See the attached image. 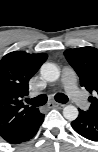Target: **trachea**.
<instances>
[{
	"mask_svg": "<svg viewBox=\"0 0 98 152\" xmlns=\"http://www.w3.org/2000/svg\"><path fill=\"white\" fill-rule=\"evenodd\" d=\"M54 98L57 102L63 103V104L69 101L68 97L63 93H57ZM46 102H47V96L44 94H41L32 99H26V103L34 105V106H42L46 104Z\"/></svg>",
	"mask_w": 98,
	"mask_h": 152,
	"instance_id": "trachea-1",
	"label": "trachea"
}]
</instances>
